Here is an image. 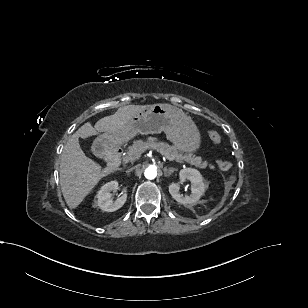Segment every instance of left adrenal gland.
Wrapping results in <instances>:
<instances>
[{
	"label": "left adrenal gland",
	"mask_w": 308,
	"mask_h": 308,
	"mask_svg": "<svg viewBox=\"0 0 308 308\" xmlns=\"http://www.w3.org/2000/svg\"><path fill=\"white\" fill-rule=\"evenodd\" d=\"M163 170H164V175H165V176H169V175H171L174 171H176L175 168H169V169H167L166 167H165Z\"/></svg>",
	"instance_id": "1"
}]
</instances>
